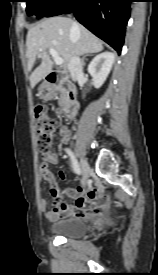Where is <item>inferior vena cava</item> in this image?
<instances>
[{"label":"inferior vena cava","instance_id":"602c4592","mask_svg":"<svg viewBox=\"0 0 158 275\" xmlns=\"http://www.w3.org/2000/svg\"><path fill=\"white\" fill-rule=\"evenodd\" d=\"M73 27H77V23H73ZM68 70L70 72L73 81H76L79 77L83 75V63L78 56H73L68 65Z\"/></svg>","mask_w":158,"mask_h":275}]
</instances>
